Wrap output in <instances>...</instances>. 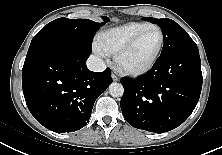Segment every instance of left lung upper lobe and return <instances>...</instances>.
Listing matches in <instances>:
<instances>
[{
	"mask_svg": "<svg viewBox=\"0 0 222 155\" xmlns=\"http://www.w3.org/2000/svg\"><path fill=\"white\" fill-rule=\"evenodd\" d=\"M143 19L156 23L160 26L164 39L161 55L176 50L198 49L192 38L175 21L167 18L156 19L152 17H144Z\"/></svg>",
	"mask_w": 222,
	"mask_h": 155,
	"instance_id": "5c2ea615",
	"label": "left lung upper lobe"
}]
</instances>
